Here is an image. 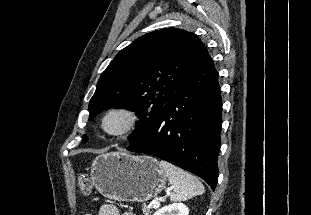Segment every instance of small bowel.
Returning a JSON list of instances; mask_svg holds the SVG:
<instances>
[{
    "label": "small bowel",
    "mask_w": 311,
    "mask_h": 215,
    "mask_svg": "<svg viewBox=\"0 0 311 215\" xmlns=\"http://www.w3.org/2000/svg\"><path fill=\"white\" fill-rule=\"evenodd\" d=\"M85 215H93V214H85ZM98 215H135L132 212H124L120 214L118 208L113 204H103L98 212Z\"/></svg>",
    "instance_id": "c3829d8e"
}]
</instances>
